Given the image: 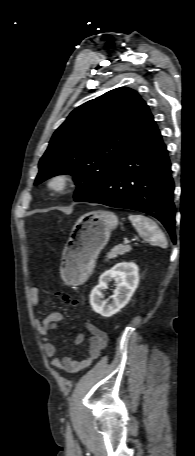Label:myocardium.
<instances>
[{
  "mask_svg": "<svg viewBox=\"0 0 195 456\" xmlns=\"http://www.w3.org/2000/svg\"><path fill=\"white\" fill-rule=\"evenodd\" d=\"M72 182L68 174H56L49 178L47 182L48 189L56 194L64 193L70 187Z\"/></svg>",
  "mask_w": 195,
  "mask_h": 456,
  "instance_id": "obj_1",
  "label": "myocardium"
}]
</instances>
